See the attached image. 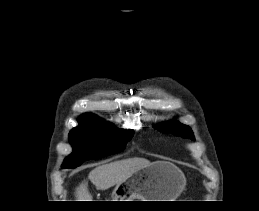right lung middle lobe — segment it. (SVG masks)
Instances as JSON below:
<instances>
[{
    "label": "right lung middle lobe",
    "instance_id": "obj_1",
    "mask_svg": "<svg viewBox=\"0 0 259 211\" xmlns=\"http://www.w3.org/2000/svg\"><path fill=\"white\" fill-rule=\"evenodd\" d=\"M78 122L79 126L69 133L73 153L65 159L62 168H75L83 161L118 153L133 136L132 130L121 131L100 119L79 118Z\"/></svg>",
    "mask_w": 259,
    "mask_h": 211
}]
</instances>
